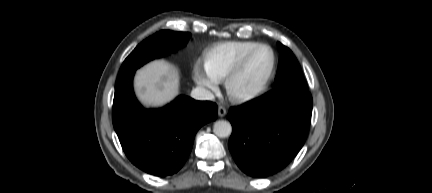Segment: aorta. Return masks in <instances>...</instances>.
<instances>
[{"mask_svg":"<svg viewBox=\"0 0 432 193\" xmlns=\"http://www.w3.org/2000/svg\"><path fill=\"white\" fill-rule=\"evenodd\" d=\"M213 132L220 138H226L231 135L232 126L226 120H218L213 125Z\"/></svg>","mask_w":432,"mask_h":193,"instance_id":"762f6f07","label":"aorta"}]
</instances>
